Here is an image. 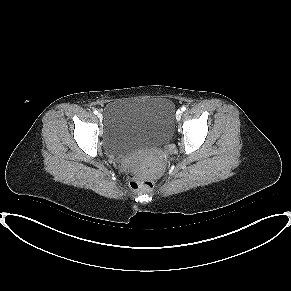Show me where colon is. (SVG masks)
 I'll use <instances>...</instances> for the list:
<instances>
[{
    "mask_svg": "<svg viewBox=\"0 0 291 291\" xmlns=\"http://www.w3.org/2000/svg\"><path fill=\"white\" fill-rule=\"evenodd\" d=\"M127 175L130 179V185L133 189L147 191L153 186L152 180L147 177L139 176L133 169V164L127 166Z\"/></svg>",
    "mask_w": 291,
    "mask_h": 291,
    "instance_id": "obj_1",
    "label": "colon"
}]
</instances>
